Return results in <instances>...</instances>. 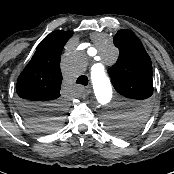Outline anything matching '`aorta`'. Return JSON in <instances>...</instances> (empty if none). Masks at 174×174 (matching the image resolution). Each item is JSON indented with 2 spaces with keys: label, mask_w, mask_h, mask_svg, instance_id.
Instances as JSON below:
<instances>
[{
  "label": "aorta",
  "mask_w": 174,
  "mask_h": 174,
  "mask_svg": "<svg viewBox=\"0 0 174 174\" xmlns=\"http://www.w3.org/2000/svg\"><path fill=\"white\" fill-rule=\"evenodd\" d=\"M103 54L108 56L112 61L117 58V50L113 44L108 41L105 42ZM91 75L96 101L101 110L100 123L103 126L109 127L110 120L122 118L126 113L121 109L115 111L110 110L114 107V92L109 78L105 75L103 70H97L94 67Z\"/></svg>",
  "instance_id": "762f6f07"
}]
</instances>
